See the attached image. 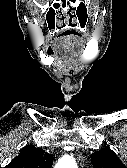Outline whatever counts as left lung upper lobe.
<instances>
[{
    "label": "left lung upper lobe",
    "instance_id": "5c2ea615",
    "mask_svg": "<svg viewBox=\"0 0 127 168\" xmlns=\"http://www.w3.org/2000/svg\"><path fill=\"white\" fill-rule=\"evenodd\" d=\"M91 161L94 168H126L109 146L93 153Z\"/></svg>",
    "mask_w": 127,
    "mask_h": 168
}]
</instances>
